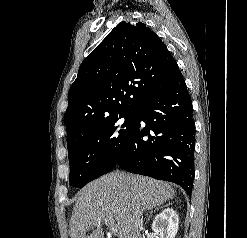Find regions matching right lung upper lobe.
Listing matches in <instances>:
<instances>
[{
    "label": "right lung upper lobe",
    "mask_w": 247,
    "mask_h": 238,
    "mask_svg": "<svg viewBox=\"0 0 247 238\" xmlns=\"http://www.w3.org/2000/svg\"><path fill=\"white\" fill-rule=\"evenodd\" d=\"M179 67L161 39L145 24L119 23L80 65L68 93V146L87 129L135 113L164 90Z\"/></svg>",
    "instance_id": "obj_1"
}]
</instances>
